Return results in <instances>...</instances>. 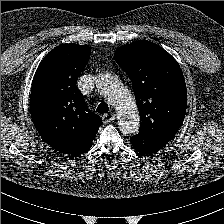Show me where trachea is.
<instances>
[{
  "instance_id": "obj_1",
  "label": "trachea",
  "mask_w": 224,
  "mask_h": 224,
  "mask_svg": "<svg viewBox=\"0 0 224 224\" xmlns=\"http://www.w3.org/2000/svg\"><path fill=\"white\" fill-rule=\"evenodd\" d=\"M96 111H97L98 113H102V114H103V113H108V111H109V107H108V105H107L105 102H102V103H100V104L98 105Z\"/></svg>"
}]
</instances>
